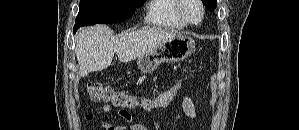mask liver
<instances>
[{"label":"liver","mask_w":299,"mask_h":130,"mask_svg":"<svg viewBox=\"0 0 299 130\" xmlns=\"http://www.w3.org/2000/svg\"><path fill=\"white\" fill-rule=\"evenodd\" d=\"M176 35L175 31L143 27L113 38L112 30L106 25L81 28L75 35L80 75L108 68L115 53L123 63L132 61Z\"/></svg>","instance_id":"6515ba94"}]
</instances>
